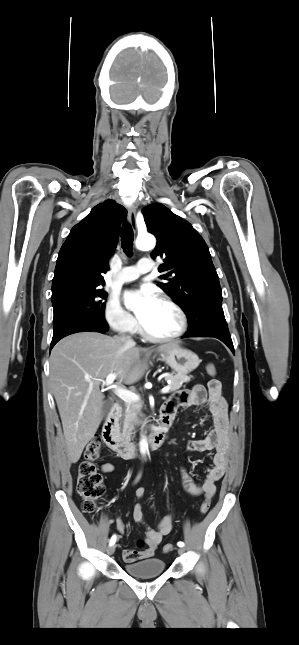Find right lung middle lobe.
<instances>
[{
    "instance_id": "dd1d6c3e",
    "label": "right lung middle lobe",
    "mask_w": 299,
    "mask_h": 645,
    "mask_svg": "<svg viewBox=\"0 0 299 645\" xmlns=\"http://www.w3.org/2000/svg\"><path fill=\"white\" fill-rule=\"evenodd\" d=\"M107 293L100 288H73L52 295L54 334L84 321L106 324L104 317Z\"/></svg>"
}]
</instances>
